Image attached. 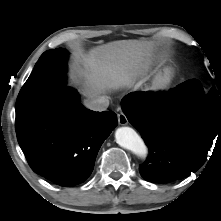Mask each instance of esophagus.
<instances>
[{
  "label": "esophagus",
  "mask_w": 221,
  "mask_h": 221,
  "mask_svg": "<svg viewBox=\"0 0 221 221\" xmlns=\"http://www.w3.org/2000/svg\"><path fill=\"white\" fill-rule=\"evenodd\" d=\"M118 122L120 125H127L128 124V119L123 112H120L118 114Z\"/></svg>",
  "instance_id": "34e87169"
}]
</instances>
